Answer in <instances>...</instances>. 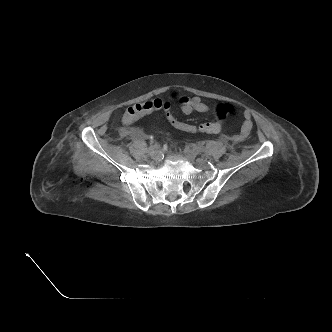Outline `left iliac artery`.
I'll use <instances>...</instances> for the list:
<instances>
[{
	"instance_id": "44dca946",
	"label": "left iliac artery",
	"mask_w": 332,
	"mask_h": 332,
	"mask_svg": "<svg viewBox=\"0 0 332 332\" xmlns=\"http://www.w3.org/2000/svg\"><path fill=\"white\" fill-rule=\"evenodd\" d=\"M194 150L196 154H201L204 151V148L202 146H196Z\"/></svg>"
}]
</instances>
